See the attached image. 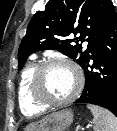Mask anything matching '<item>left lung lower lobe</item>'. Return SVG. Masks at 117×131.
Listing matches in <instances>:
<instances>
[{"instance_id": "obj_1", "label": "left lung lower lobe", "mask_w": 117, "mask_h": 131, "mask_svg": "<svg viewBox=\"0 0 117 131\" xmlns=\"http://www.w3.org/2000/svg\"><path fill=\"white\" fill-rule=\"evenodd\" d=\"M85 86L74 103H90L117 116V13L111 7L100 40L83 68Z\"/></svg>"}]
</instances>
